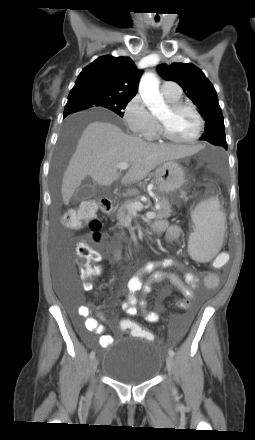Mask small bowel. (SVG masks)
Returning <instances> with one entry per match:
<instances>
[{"mask_svg": "<svg viewBox=\"0 0 255 440\" xmlns=\"http://www.w3.org/2000/svg\"><path fill=\"white\" fill-rule=\"evenodd\" d=\"M155 228L158 230H167L166 239L169 242H174L181 238L182 228L179 225L173 224L168 226L165 220H159L155 223ZM113 260L119 262L121 260V252L115 250L113 253ZM217 258H223L220 254ZM166 267H180V264L173 259H165L162 261H153L144 265L139 272L132 277L127 284L128 294L126 299L122 302V308L128 315H136L141 312L146 321L155 323L159 320V313L147 309V304L143 299L137 297V293H148L151 290L152 284L169 282L173 287L177 288L184 298H189L190 301L195 299V289L198 286L199 278L193 272H186L184 278L181 279L177 274L163 270ZM211 274V273H210ZM208 274V275H210ZM148 275V280L143 281V276ZM207 275V276H208ZM206 276V277H207ZM205 285L208 289H213L218 286V277L211 276V279ZM86 290L91 289V285L85 284ZM76 317L83 318L82 324L76 321L77 329L84 335L87 342L91 343V339L87 337L84 332H91L99 337V344L103 348L109 347L113 343L111 335L104 334L105 327L101 323L104 316L100 312H94L89 306H80L77 309ZM75 317V319H77Z\"/></svg>", "mask_w": 255, "mask_h": 440, "instance_id": "c3829d8e", "label": "small bowel"}]
</instances>
